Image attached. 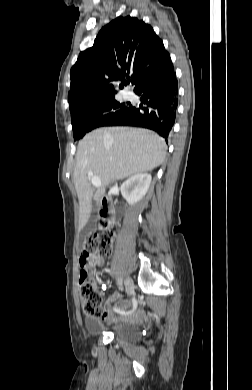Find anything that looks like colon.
Returning <instances> with one entry per match:
<instances>
[{
  "label": "colon",
  "instance_id": "5ec220e1",
  "mask_svg": "<svg viewBox=\"0 0 252 390\" xmlns=\"http://www.w3.org/2000/svg\"><path fill=\"white\" fill-rule=\"evenodd\" d=\"M112 253V235L108 232L89 236L82 247L80 263L83 267L80 278V293L84 312L92 317L104 315L101 297L94 281L97 259L110 256Z\"/></svg>",
  "mask_w": 252,
  "mask_h": 390
}]
</instances>
